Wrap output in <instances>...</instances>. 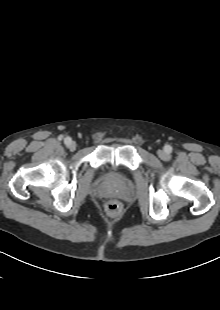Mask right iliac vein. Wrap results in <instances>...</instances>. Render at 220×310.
Instances as JSON below:
<instances>
[{
	"mask_svg": "<svg viewBox=\"0 0 220 310\" xmlns=\"http://www.w3.org/2000/svg\"><path fill=\"white\" fill-rule=\"evenodd\" d=\"M68 148L71 150V151H74L77 147V144L76 142L74 141H71L69 144H67Z\"/></svg>",
	"mask_w": 220,
	"mask_h": 310,
	"instance_id": "obj_1",
	"label": "right iliac vein"
}]
</instances>
